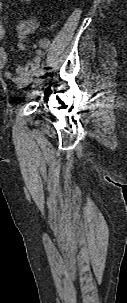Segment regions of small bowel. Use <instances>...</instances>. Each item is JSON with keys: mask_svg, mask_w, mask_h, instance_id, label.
Segmentation results:
<instances>
[{"mask_svg": "<svg viewBox=\"0 0 127 303\" xmlns=\"http://www.w3.org/2000/svg\"><path fill=\"white\" fill-rule=\"evenodd\" d=\"M24 5H29L31 0H19ZM2 9V3L0 1V11ZM37 26V21L33 16L28 17L27 19L21 21L16 27L17 33L22 37L29 30ZM5 37V29L0 20V70H3V75L6 80L12 81L16 87L21 88L26 86L38 72V69L41 65L42 59L45 53L49 50L50 41L48 38H41L38 42V48L36 54L31 61L25 65L19 66L16 69V72L7 69L8 66V54L1 45ZM19 47L24 49L25 46L20 42Z\"/></svg>", "mask_w": 127, "mask_h": 303, "instance_id": "c3829d8e", "label": "small bowel"}]
</instances>
